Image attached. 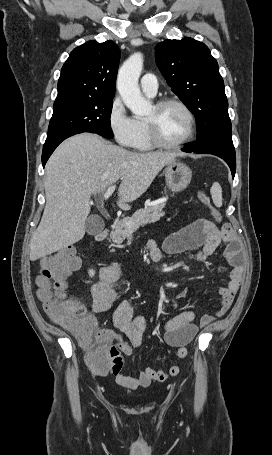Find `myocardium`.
<instances>
[{
	"label": "myocardium",
	"mask_w": 272,
	"mask_h": 455,
	"mask_svg": "<svg viewBox=\"0 0 272 455\" xmlns=\"http://www.w3.org/2000/svg\"><path fill=\"white\" fill-rule=\"evenodd\" d=\"M169 105H175V106L181 108L183 110V112L185 113L187 120H188L187 133L180 141H178L176 143L164 142L158 134L155 122L153 120L146 119L145 123L147 126L150 141L153 144V146H155L157 148H161V149H166V150H175V149H179V148L183 147L193 138V136L195 134V130H196V120H195V116H194L193 112L191 111V109L184 102H182L181 100L176 99V98H172V97L162 98L155 103L154 107L157 110H160Z\"/></svg>",
	"instance_id": "f54148a6"
}]
</instances>
